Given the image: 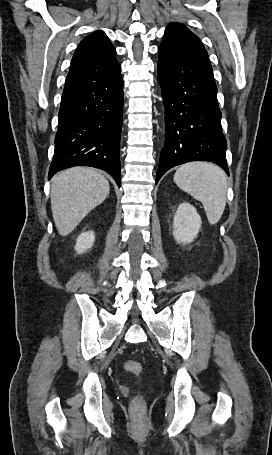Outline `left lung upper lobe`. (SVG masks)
Returning <instances> with one entry per match:
<instances>
[{"instance_id": "left-lung-upper-lobe-1", "label": "left lung upper lobe", "mask_w": 272, "mask_h": 455, "mask_svg": "<svg viewBox=\"0 0 272 455\" xmlns=\"http://www.w3.org/2000/svg\"><path fill=\"white\" fill-rule=\"evenodd\" d=\"M159 59L168 65L185 63L211 65L200 39L181 23H170L159 47Z\"/></svg>"}]
</instances>
